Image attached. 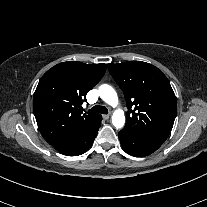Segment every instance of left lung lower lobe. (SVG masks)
<instances>
[{
	"instance_id": "1",
	"label": "left lung lower lobe",
	"mask_w": 207,
	"mask_h": 207,
	"mask_svg": "<svg viewBox=\"0 0 207 207\" xmlns=\"http://www.w3.org/2000/svg\"><path fill=\"white\" fill-rule=\"evenodd\" d=\"M118 135L124 150L136 157L153 153L165 141L160 138L136 133L127 128L122 129Z\"/></svg>"
}]
</instances>
